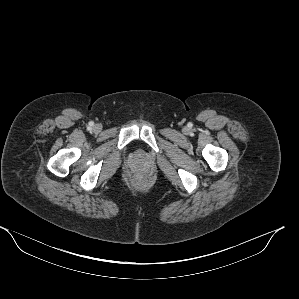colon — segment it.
<instances>
[{
	"label": "colon",
	"mask_w": 299,
	"mask_h": 299,
	"mask_svg": "<svg viewBox=\"0 0 299 299\" xmlns=\"http://www.w3.org/2000/svg\"><path fill=\"white\" fill-rule=\"evenodd\" d=\"M144 182H145V179H144V177H137V179H136V183L138 184V185H143L144 184Z\"/></svg>",
	"instance_id": "1"
}]
</instances>
